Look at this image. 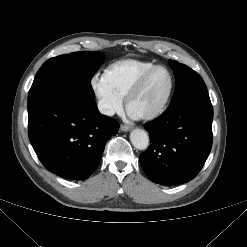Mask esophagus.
I'll list each match as a JSON object with an SVG mask.
<instances>
[{
	"label": "esophagus",
	"mask_w": 247,
	"mask_h": 247,
	"mask_svg": "<svg viewBox=\"0 0 247 247\" xmlns=\"http://www.w3.org/2000/svg\"><path fill=\"white\" fill-rule=\"evenodd\" d=\"M120 129L123 132H127V131L131 130V126H129V125H121Z\"/></svg>",
	"instance_id": "34e87169"
}]
</instances>
